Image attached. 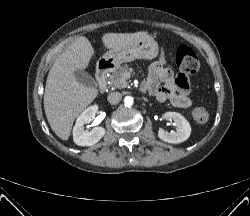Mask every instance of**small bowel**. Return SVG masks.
<instances>
[{
  "label": "small bowel",
  "mask_w": 250,
  "mask_h": 216,
  "mask_svg": "<svg viewBox=\"0 0 250 216\" xmlns=\"http://www.w3.org/2000/svg\"><path fill=\"white\" fill-rule=\"evenodd\" d=\"M144 89L159 101H169L175 107L188 108L192 105L188 78L183 74L175 75L164 61L151 65Z\"/></svg>",
  "instance_id": "obj_1"
}]
</instances>
